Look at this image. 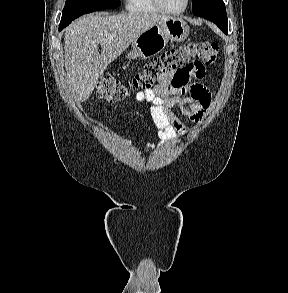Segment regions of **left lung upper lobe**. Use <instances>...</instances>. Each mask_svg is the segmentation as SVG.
Instances as JSON below:
<instances>
[{"mask_svg": "<svg viewBox=\"0 0 288 293\" xmlns=\"http://www.w3.org/2000/svg\"><path fill=\"white\" fill-rule=\"evenodd\" d=\"M192 11L194 15L212 21L228 34V19L222 0H192Z\"/></svg>", "mask_w": 288, "mask_h": 293, "instance_id": "left-lung-upper-lobe-1", "label": "left lung upper lobe"}]
</instances>
